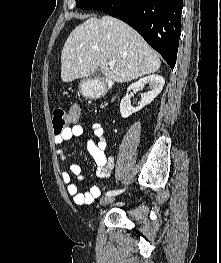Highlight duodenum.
Listing matches in <instances>:
<instances>
[{"instance_id": "obj_1", "label": "duodenum", "mask_w": 221, "mask_h": 263, "mask_svg": "<svg viewBox=\"0 0 221 263\" xmlns=\"http://www.w3.org/2000/svg\"><path fill=\"white\" fill-rule=\"evenodd\" d=\"M105 90H106V86H104V85H97L93 89V93H94L93 96L94 97H99V96H101L104 93Z\"/></svg>"}]
</instances>
